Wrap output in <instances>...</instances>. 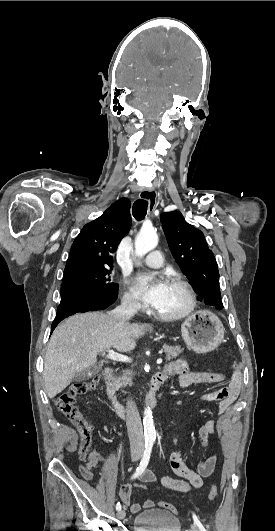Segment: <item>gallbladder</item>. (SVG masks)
<instances>
[{"mask_svg":"<svg viewBox=\"0 0 275 531\" xmlns=\"http://www.w3.org/2000/svg\"><path fill=\"white\" fill-rule=\"evenodd\" d=\"M103 367L102 361H99L98 365H95V367H91V369H84V371H81V373H76L73 381H76V383H81V381H88V379H91L93 375H97L99 371H101Z\"/></svg>","mask_w":275,"mask_h":531,"instance_id":"bac80fb5","label":"gallbladder"}]
</instances>
